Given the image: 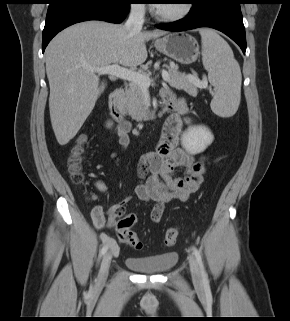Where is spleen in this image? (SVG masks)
<instances>
[{"label":"spleen","mask_w":290,"mask_h":321,"mask_svg":"<svg viewBox=\"0 0 290 321\" xmlns=\"http://www.w3.org/2000/svg\"><path fill=\"white\" fill-rule=\"evenodd\" d=\"M202 61L215 88L212 111L221 117L233 116L240 104L242 75L228 43L212 29L200 30Z\"/></svg>","instance_id":"3e777b00"}]
</instances>
